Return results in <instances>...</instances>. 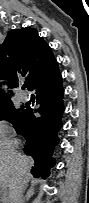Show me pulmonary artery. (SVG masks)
I'll use <instances>...</instances> for the list:
<instances>
[{
    "instance_id": "e3ab8cb5",
    "label": "pulmonary artery",
    "mask_w": 89,
    "mask_h": 203,
    "mask_svg": "<svg viewBox=\"0 0 89 203\" xmlns=\"http://www.w3.org/2000/svg\"><path fill=\"white\" fill-rule=\"evenodd\" d=\"M29 99L28 95L25 94V93H21L20 96H19V100L23 103L27 102Z\"/></svg>"
}]
</instances>
